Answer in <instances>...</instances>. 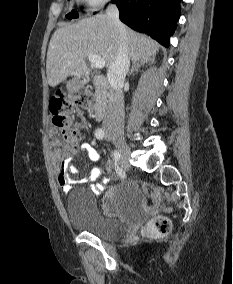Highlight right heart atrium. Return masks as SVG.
<instances>
[{"label": "right heart atrium", "mask_w": 233, "mask_h": 284, "mask_svg": "<svg viewBox=\"0 0 233 284\" xmlns=\"http://www.w3.org/2000/svg\"><path fill=\"white\" fill-rule=\"evenodd\" d=\"M109 0H83V2L91 9H98Z\"/></svg>", "instance_id": "right-heart-atrium-1"}]
</instances>
